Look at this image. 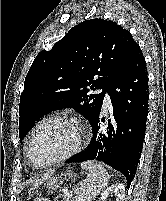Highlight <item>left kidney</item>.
I'll use <instances>...</instances> for the list:
<instances>
[{"mask_svg": "<svg viewBox=\"0 0 166 201\" xmlns=\"http://www.w3.org/2000/svg\"><path fill=\"white\" fill-rule=\"evenodd\" d=\"M109 194L115 195L116 201H123L125 196V187L123 184H113L101 193L99 201H105Z\"/></svg>", "mask_w": 166, "mask_h": 201, "instance_id": "1", "label": "left kidney"}]
</instances>
